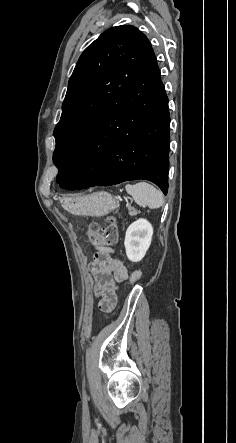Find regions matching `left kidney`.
<instances>
[{
    "mask_svg": "<svg viewBox=\"0 0 236 443\" xmlns=\"http://www.w3.org/2000/svg\"><path fill=\"white\" fill-rule=\"evenodd\" d=\"M153 235L152 225L143 218L133 222L125 235V249L128 259L132 262L141 261L150 247Z\"/></svg>",
    "mask_w": 236,
    "mask_h": 443,
    "instance_id": "5707ae66",
    "label": "left kidney"
}]
</instances>
